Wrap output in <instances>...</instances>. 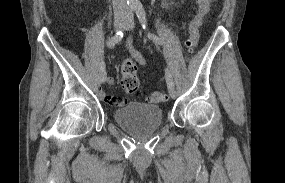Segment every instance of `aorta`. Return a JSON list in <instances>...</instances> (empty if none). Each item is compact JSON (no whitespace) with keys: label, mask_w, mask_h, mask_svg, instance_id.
I'll return each instance as SVG.
<instances>
[{"label":"aorta","mask_w":285,"mask_h":183,"mask_svg":"<svg viewBox=\"0 0 285 183\" xmlns=\"http://www.w3.org/2000/svg\"><path fill=\"white\" fill-rule=\"evenodd\" d=\"M127 2L131 9H138L142 7L140 0H127Z\"/></svg>","instance_id":"762f6f07"}]
</instances>
